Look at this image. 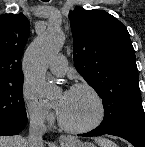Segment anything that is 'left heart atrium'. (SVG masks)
<instances>
[{
	"instance_id": "39dd6f15",
	"label": "left heart atrium",
	"mask_w": 145,
	"mask_h": 147,
	"mask_svg": "<svg viewBox=\"0 0 145 147\" xmlns=\"http://www.w3.org/2000/svg\"><path fill=\"white\" fill-rule=\"evenodd\" d=\"M68 93H69V91H67V92H65V93L63 94V101H62V103L60 104V106L57 107L59 113H60V111H61V108H62V105H63L64 100H65V99L67 98V96H68Z\"/></svg>"
}]
</instances>
